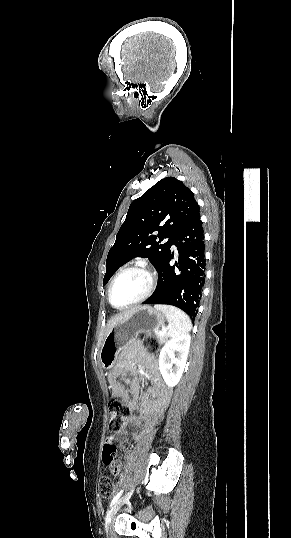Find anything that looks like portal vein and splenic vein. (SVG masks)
<instances>
[{
	"label": "portal vein and splenic vein",
	"instance_id": "portal-vein-and-splenic-vein-1",
	"mask_svg": "<svg viewBox=\"0 0 291 538\" xmlns=\"http://www.w3.org/2000/svg\"><path fill=\"white\" fill-rule=\"evenodd\" d=\"M159 335H165V332H157Z\"/></svg>",
	"mask_w": 291,
	"mask_h": 538
}]
</instances>
